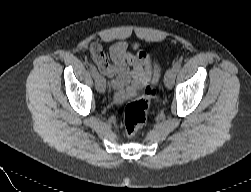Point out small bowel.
Returning a JSON list of instances; mask_svg holds the SVG:
<instances>
[{"label": "small bowel", "instance_id": "1", "mask_svg": "<svg viewBox=\"0 0 251 192\" xmlns=\"http://www.w3.org/2000/svg\"><path fill=\"white\" fill-rule=\"evenodd\" d=\"M90 51L99 70L110 77L116 87H139L150 80L151 61L145 51L134 55L122 41L114 43L108 55L98 44H93Z\"/></svg>", "mask_w": 251, "mask_h": 192}]
</instances>
